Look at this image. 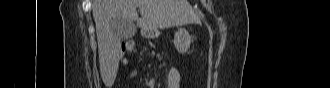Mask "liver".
<instances>
[{"label":"liver","instance_id":"liver-1","mask_svg":"<svg viewBox=\"0 0 330 88\" xmlns=\"http://www.w3.org/2000/svg\"><path fill=\"white\" fill-rule=\"evenodd\" d=\"M140 9L138 17L136 8ZM93 18L96 25L100 74L104 84H114L118 65L121 37L113 27L114 21L137 22L141 34L198 20L187 0H94Z\"/></svg>","mask_w":330,"mask_h":88}]
</instances>
